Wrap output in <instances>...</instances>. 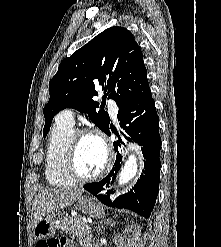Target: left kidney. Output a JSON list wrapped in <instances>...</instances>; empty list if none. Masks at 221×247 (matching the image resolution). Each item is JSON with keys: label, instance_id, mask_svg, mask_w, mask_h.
<instances>
[{"label": "left kidney", "instance_id": "1", "mask_svg": "<svg viewBox=\"0 0 221 247\" xmlns=\"http://www.w3.org/2000/svg\"><path fill=\"white\" fill-rule=\"evenodd\" d=\"M140 236V226L133 224L123 232V236H116L114 241L117 247H137Z\"/></svg>", "mask_w": 221, "mask_h": 247}]
</instances>
